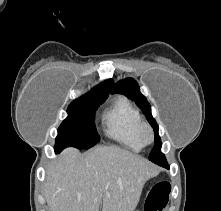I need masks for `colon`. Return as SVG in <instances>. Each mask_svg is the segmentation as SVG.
Here are the masks:
<instances>
[{
	"mask_svg": "<svg viewBox=\"0 0 221 211\" xmlns=\"http://www.w3.org/2000/svg\"><path fill=\"white\" fill-rule=\"evenodd\" d=\"M170 191L171 185L168 182L155 184L147 195L145 211H162L168 203Z\"/></svg>",
	"mask_w": 221,
	"mask_h": 211,
	"instance_id": "colon-1",
	"label": "colon"
}]
</instances>
